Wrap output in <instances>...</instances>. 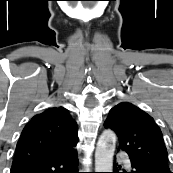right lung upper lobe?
<instances>
[{
  "instance_id": "1",
  "label": "right lung upper lobe",
  "mask_w": 173,
  "mask_h": 173,
  "mask_svg": "<svg viewBox=\"0 0 173 173\" xmlns=\"http://www.w3.org/2000/svg\"><path fill=\"white\" fill-rule=\"evenodd\" d=\"M78 128L67 109L49 108L24 127L12 164L58 156L74 150Z\"/></svg>"
}]
</instances>
